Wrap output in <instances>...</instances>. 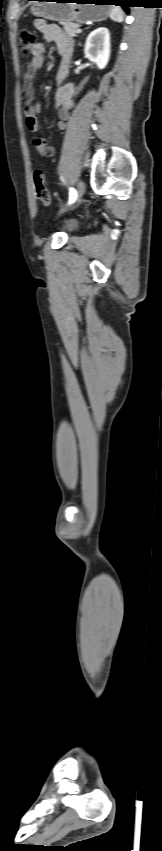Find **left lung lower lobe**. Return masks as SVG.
Segmentation results:
<instances>
[{
  "label": "left lung lower lobe",
  "instance_id": "1",
  "mask_svg": "<svg viewBox=\"0 0 162 851\" xmlns=\"http://www.w3.org/2000/svg\"><path fill=\"white\" fill-rule=\"evenodd\" d=\"M42 1H44V0H42ZM99 1H101L100 3H110V4H114V5H119V6L123 7V9L126 12H128V6H130L129 2L127 0H99Z\"/></svg>",
  "mask_w": 162,
  "mask_h": 851
}]
</instances>
